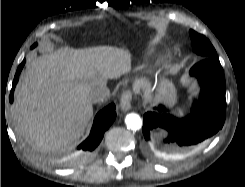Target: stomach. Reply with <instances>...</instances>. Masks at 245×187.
I'll use <instances>...</instances> for the list:
<instances>
[{
  "label": "stomach",
  "mask_w": 245,
  "mask_h": 187,
  "mask_svg": "<svg viewBox=\"0 0 245 187\" xmlns=\"http://www.w3.org/2000/svg\"><path fill=\"white\" fill-rule=\"evenodd\" d=\"M145 96L150 101L155 98H159L170 105H173L176 102L174 86L166 79H161L153 86L147 87L145 90Z\"/></svg>",
  "instance_id": "1"
}]
</instances>
